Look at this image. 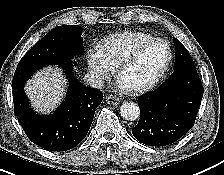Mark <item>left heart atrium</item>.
I'll return each instance as SVG.
<instances>
[{"instance_id":"obj_1","label":"left heart atrium","mask_w":224,"mask_h":175,"mask_svg":"<svg viewBox=\"0 0 224 175\" xmlns=\"http://www.w3.org/2000/svg\"><path fill=\"white\" fill-rule=\"evenodd\" d=\"M120 87H121V88H125L121 83H120Z\"/></svg>"}]
</instances>
